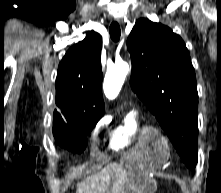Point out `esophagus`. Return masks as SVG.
Instances as JSON below:
<instances>
[{"label": "esophagus", "mask_w": 221, "mask_h": 193, "mask_svg": "<svg viewBox=\"0 0 221 193\" xmlns=\"http://www.w3.org/2000/svg\"><path fill=\"white\" fill-rule=\"evenodd\" d=\"M116 21H117V22H119V23H121V22H122V21H121L120 19H118V18L116 19Z\"/></svg>", "instance_id": "esophagus-1"}]
</instances>
